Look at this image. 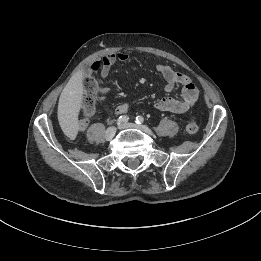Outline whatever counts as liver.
<instances>
[{
  "mask_svg": "<svg viewBox=\"0 0 261 261\" xmlns=\"http://www.w3.org/2000/svg\"><path fill=\"white\" fill-rule=\"evenodd\" d=\"M83 89L81 75L75 74L61 92L58 103V120L65 130L77 131Z\"/></svg>",
  "mask_w": 261,
  "mask_h": 261,
  "instance_id": "6515ba94",
  "label": "liver"
}]
</instances>
